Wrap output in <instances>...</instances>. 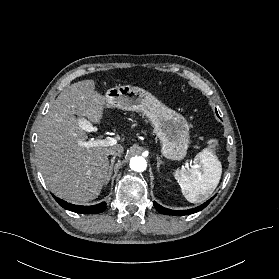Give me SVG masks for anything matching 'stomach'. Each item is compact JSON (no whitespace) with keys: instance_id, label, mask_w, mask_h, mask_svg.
<instances>
[{"instance_id":"0dacf381","label":"stomach","mask_w":279,"mask_h":279,"mask_svg":"<svg viewBox=\"0 0 279 279\" xmlns=\"http://www.w3.org/2000/svg\"><path fill=\"white\" fill-rule=\"evenodd\" d=\"M108 107L143 113L154 128L161 143L162 155L171 160H181L187 154L189 125L186 119L167 107L150 92L131 85L107 90Z\"/></svg>"}]
</instances>
